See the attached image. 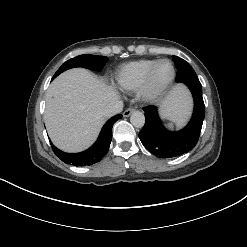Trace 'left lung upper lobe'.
<instances>
[{
    "label": "left lung upper lobe",
    "instance_id": "obj_1",
    "mask_svg": "<svg viewBox=\"0 0 247 247\" xmlns=\"http://www.w3.org/2000/svg\"><path fill=\"white\" fill-rule=\"evenodd\" d=\"M173 61L177 68L176 82L199 80L195 71L188 62L177 56H173Z\"/></svg>",
    "mask_w": 247,
    "mask_h": 247
}]
</instances>
